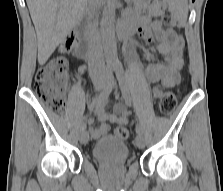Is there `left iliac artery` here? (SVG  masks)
<instances>
[{"label": "left iliac artery", "mask_w": 223, "mask_h": 191, "mask_svg": "<svg viewBox=\"0 0 223 191\" xmlns=\"http://www.w3.org/2000/svg\"><path fill=\"white\" fill-rule=\"evenodd\" d=\"M114 70L116 73V77L118 79L119 85L121 87L122 90V94L125 97L126 101L131 104V98L129 95V91H128V85H127V81L124 75V71L122 68V65L120 63H117L114 65ZM135 130L137 133H142V127L139 123L136 124Z\"/></svg>", "instance_id": "obj_1"}]
</instances>
